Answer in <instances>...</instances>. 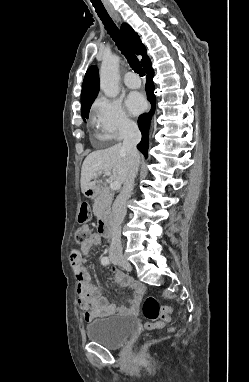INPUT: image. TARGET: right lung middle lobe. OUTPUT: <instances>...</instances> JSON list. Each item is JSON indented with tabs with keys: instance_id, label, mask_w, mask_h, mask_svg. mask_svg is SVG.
Wrapping results in <instances>:
<instances>
[{
	"instance_id": "1",
	"label": "right lung middle lobe",
	"mask_w": 249,
	"mask_h": 382,
	"mask_svg": "<svg viewBox=\"0 0 249 382\" xmlns=\"http://www.w3.org/2000/svg\"><path fill=\"white\" fill-rule=\"evenodd\" d=\"M89 110H90V107L86 109L84 112H81L83 118H88Z\"/></svg>"
}]
</instances>
